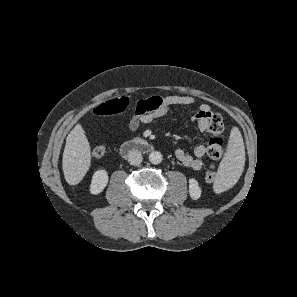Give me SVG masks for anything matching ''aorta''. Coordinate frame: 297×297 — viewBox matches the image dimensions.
Wrapping results in <instances>:
<instances>
[{
  "instance_id": "aorta-1",
  "label": "aorta",
  "mask_w": 297,
  "mask_h": 297,
  "mask_svg": "<svg viewBox=\"0 0 297 297\" xmlns=\"http://www.w3.org/2000/svg\"><path fill=\"white\" fill-rule=\"evenodd\" d=\"M162 154L158 151H153L149 154V161L152 164H159L162 161Z\"/></svg>"
}]
</instances>
